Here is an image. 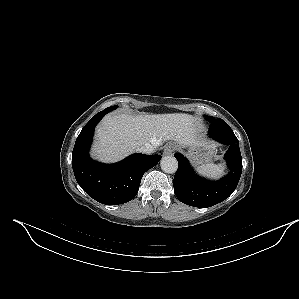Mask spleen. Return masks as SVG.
<instances>
[{
	"label": "spleen",
	"mask_w": 299,
	"mask_h": 299,
	"mask_svg": "<svg viewBox=\"0 0 299 299\" xmlns=\"http://www.w3.org/2000/svg\"><path fill=\"white\" fill-rule=\"evenodd\" d=\"M199 173L206 176H220L223 173V166L221 164L207 163L197 168Z\"/></svg>",
	"instance_id": "1"
}]
</instances>
